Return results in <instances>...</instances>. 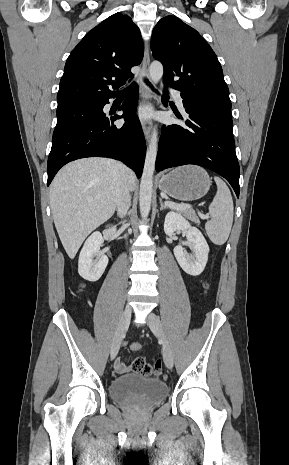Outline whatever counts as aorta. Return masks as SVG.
I'll use <instances>...</instances> for the list:
<instances>
[{
    "label": "aorta",
    "mask_w": 289,
    "mask_h": 465,
    "mask_svg": "<svg viewBox=\"0 0 289 465\" xmlns=\"http://www.w3.org/2000/svg\"><path fill=\"white\" fill-rule=\"evenodd\" d=\"M149 76L151 82L157 84L163 76V66L159 61L151 63L149 68ZM158 148V132L154 127L149 146L146 151L143 173L140 183L139 206L141 217L146 219L151 209L152 191H153V174L155 170V162Z\"/></svg>",
    "instance_id": "obj_1"
}]
</instances>
